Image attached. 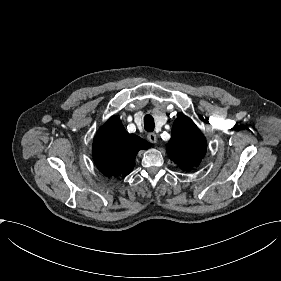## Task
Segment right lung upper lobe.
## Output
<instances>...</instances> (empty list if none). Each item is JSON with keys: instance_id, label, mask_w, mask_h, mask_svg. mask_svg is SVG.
<instances>
[{"instance_id": "obj_1", "label": "right lung upper lobe", "mask_w": 281, "mask_h": 281, "mask_svg": "<svg viewBox=\"0 0 281 281\" xmlns=\"http://www.w3.org/2000/svg\"><path fill=\"white\" fill-rule=\"evenodd\" d=\"M150 146L144 139L129 134L122 122L113 116L98 130L94 138L93 159L106 177L126 176L133 170L138 151Z\"/></svg>"}]
</instances>
